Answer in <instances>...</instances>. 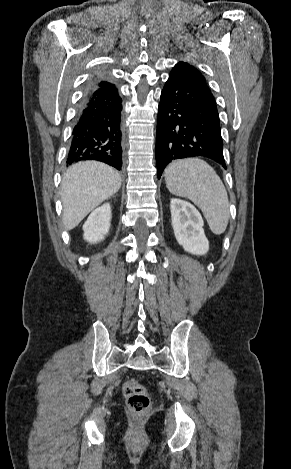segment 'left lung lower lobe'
Here are the masks:
<instances>
[{
    "label": "left lung lower lobe",
    "mask_w": 291,
    "mask_h": 469,
    "mask_svg": "<svg viewBox=\"0 0 291 469\" xmlns=\"http://www.w3.org/2000/svg\"><path fill=\"white\" fill-rule=\"evenodd\" d=\"M219 115L211 91L174 69L161 92L156 132L157 176L173 160L202 156L226 168Z\"/></svg>",
    "instance_id": "0a47b994"
}]
</instances>
